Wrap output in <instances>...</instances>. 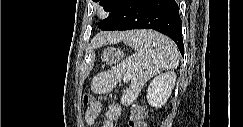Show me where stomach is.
<instances>
[{
    "label": "stomach",
    "instance_id": "stomach-1",
    "mask_svg": "<svg viewBox=\"0 0 243 127\" xmlns=\"http://www.w3.org/2000/svg\"><path fill=\"white\" fill-rule=\"evenodd\" d=\"M123 57V51L112 47L105 49L102 54V60L109 64L118 63Z\"/></svg>",
    "mask_w": 243,
    "mask_h": 127
}]
</instances>
